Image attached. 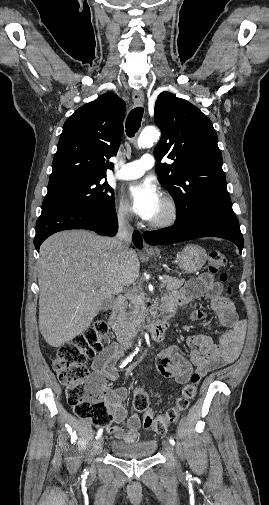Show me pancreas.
I'll return each mask as SVG.
<instances>
[{
  "instance_id": "1",
  "label": "pancreas",
  "mask_w": 269,
  "mask_h": 505,
  "mask_svg": "<svg viewBox=\"0 0 269 505\" xmlns=\"http://www.w3.org/2000/svg\"><path fill=\"white\" fill-rule=\"evenodd\" d=\"M183 283L184 279L180 280L169 275H164L162 279L163 287L168 291L179 289ZM128 298L130 299L129 312H125L124 319L127 323L138 324L145 315L144 294L139 291H131Z\"/></svg>"
}]
</instances>
